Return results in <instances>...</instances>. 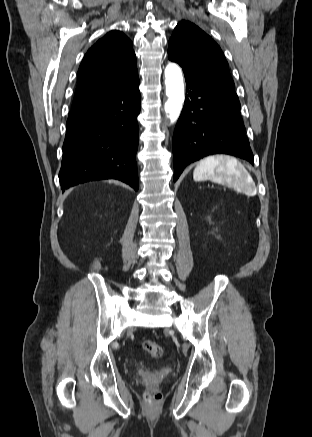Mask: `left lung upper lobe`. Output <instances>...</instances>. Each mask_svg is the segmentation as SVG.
<instances>
[{
	"label": "left lung upper lobe",
	"mask_w": 312,
	"mask_h": 437,
	"mask_svg": "<svg viewBox=\"0 0 312 437\" xmlns=\"http://www.w3.org/2000/svg\"><path fill=\"white\" fill-rule=\"evenodd\" d=\"M168 55L187 74L240 104L228 63L217 43L199 27L181 21L169 40Z\"/></svg>",
	"instance_id": "left-lung-upper-lobe-1"
}]
</instances>
